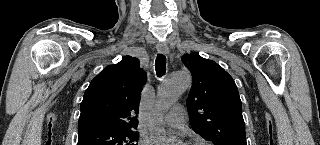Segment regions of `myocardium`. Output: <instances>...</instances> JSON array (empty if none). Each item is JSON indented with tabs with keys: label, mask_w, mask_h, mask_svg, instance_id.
Segmentation results:
<instances>
[{
	"label": "myocardium",
	"mask_w": 320,
	"mask_h": 145,
	"mask_svg": "<svg viewBox=\"0 0 320 145\" xmlns=\"http://www.w3.org/2000/svg\"><path fill=\"white\" fill-rule=\"evenodd\" d=\"M189 144L190 145H208L206 142L199 141V140H194V141L190 142Z\"/></svg>",
	"instance_id": "f54148a6"
}]
</instances>
